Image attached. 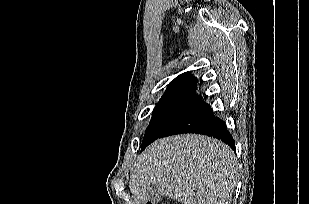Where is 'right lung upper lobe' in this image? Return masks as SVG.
Returning <instances> with one entry per match:
<instances>
[{
    "instance_id": "cb5924a9",
    "label": "right lung upper lobe",
    "mask_w": 309,
    "mask_h": 204,
    "mask_svg": "<svg viewBox=\"0 0 309 204\" xmlns=\"http://www.w3.org/2000/svg\"><path fill=\"white\" fill-rule=\"evenodd\" d=\"M196 86L197 78L189 72L183 73L170 82L159 103H190L198 106L204 101L196 94Z\"/></svg>"
}]
</instances>
